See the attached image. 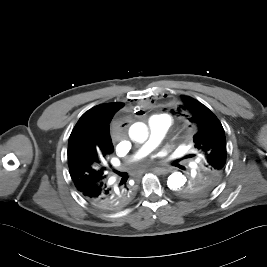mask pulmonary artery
Listing matches in <instances>:
<instances>
[{"label": "pulmonary artery", "mask_w": 267, "mask_h": 267, "mask_svg": "<svg viewBox=\"0 0 267 267\" xmlns=\"http://www.w3.org/2000/svg\"><path fill=\"white\" fill-rule=\"evenodd\" d=\"M171 120L166 114H159L153 116L148 122L149 137L141 149L136 153L135 157H141L152 151L160 141L165 137L169 128Z\"/></svg>", "instance_id": "e3ab8cb5"}]
</instances>
